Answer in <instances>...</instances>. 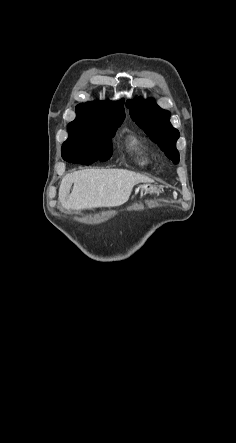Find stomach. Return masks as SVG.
<instances>
[{
	"label": "stomach",
	"mask_w": 236,
	"mask_h": 443,
	"mask_svg": "<svg viewBox=\"0 0 236 443\" xmlns=\"http://www.w3.org/2000/svg\"><path fill=\"white\" fill-rule=\"evenodd\" d=\"M145 192V193H156V192H158V190H157V188L156 187H154V186H151V185H145V184H143V185H139L136 189H135V193H138V192Z\"/></svg>",
	"instance_id": "stomach-1"
}]
</instances>
